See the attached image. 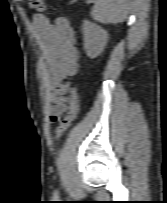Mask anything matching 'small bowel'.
Masks as SVG:
<instances>
[{
	"mask_svg": "<svg viewBox=\"0 0 167 203\" xmlns=\"http://www.w3.org/2000/svg\"><path fill=\"white\" fill-rule=\"evenodd\" d=\"M33 28L40 40L50 73L53 107L49 120L55 123L66 111L69 81L79 70V52L74 44V30L65 17L51 22L43 15L34 17Z\"/></svg>",
	"mask_w": 167,
	"mask_h": 203,
	"instance_id": "obj_1",
	"label": "small bowel"
}]
</instances>
